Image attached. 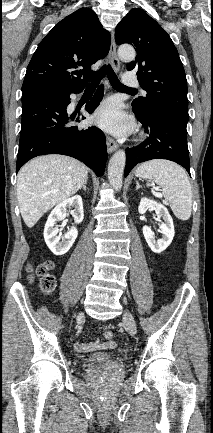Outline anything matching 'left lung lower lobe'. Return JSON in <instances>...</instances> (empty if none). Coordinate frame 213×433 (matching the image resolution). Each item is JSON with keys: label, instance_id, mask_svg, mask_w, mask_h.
<instances>
[{"label": "left lung lower lobe", "instance_id": "left-lung-lower-lobe-1", "mask_svg": "<svg viewBox=\"0 0 213 433\" xmlns=\"http://www.w3.org/2000/svg\"><path fill=\"white\" fill-rule=\"evenodd\" d=\"M149 137L140 145L126 149L125 177L138 163L167 159L183 166L190 174L186 126L188 119L169 111L143 115L133 108Z\"/></svg>", "mask_w": 213, "mask_h": 433}]
</instances>
